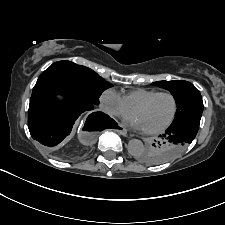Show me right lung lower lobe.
Instances as JSON below:
<instances>
[{"label":"right lung lower lobe","instance_id":"1","mask_svg":"<svg viewBox=\"0 0 225 225\" xmlns=\"http://www.w3.org/2000/svg\"><path fill=\"white\" fill-rule=\"evenodd\" d=\"M56 94H62L65 100L57 102ZM98 104L91 102L86 93L71 80L57 74L42 73L33 88L29 104L30 134L46 149L55 150L70 134L77 118L83 113H90L94 105ZM113 124L115 122L110 117L95 112L89 115L85 129L103 130Z\"/></svg>","mask_w":225,"mask_h":225}]
</instances>
